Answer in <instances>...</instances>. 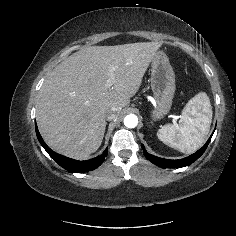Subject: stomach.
<instances>
[{"mask_svg": "<svg viewBox=\"0 0 236 236\" xmlns=\"http://www.w3.org/2000/svg\"><path fill=\"white\" fill-rule=\"evenodd\" d=\"M150 81L156 100V107L151 116L153 121H156L170 111L176 89L175 73L164 51L156 52L152 59Z\"/></svg>", "mask_w": 236, "mask_h": 236, "instance_id": "0dacf381", "label": "stomach"}]
</instances>
